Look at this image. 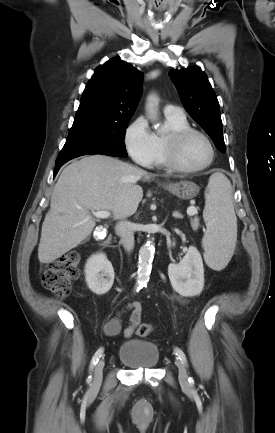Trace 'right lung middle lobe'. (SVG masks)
Segmentation results:
<instances>
[{
  "mask_svg": "<svg viewBox=\"0 0 275 433\" xmlns=\"http://www.w3.org/2000/svg\"><path fill=\"white\" fill-rule=\"evenodd\" d=\"M129 120H75L56 163L91 154L127 157L123 139Z\"/></svg>",
  "mask_w": 275,
  "mask_h": 433,
  "instance_id": "obj_1",
  "label": "right lung middle lobe"
}]
</instances>
